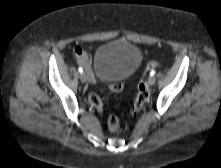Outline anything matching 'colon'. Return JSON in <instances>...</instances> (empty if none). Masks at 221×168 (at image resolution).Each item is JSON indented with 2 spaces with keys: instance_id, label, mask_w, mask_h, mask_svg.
<instances>
[{
  "instance_id": "5ec220e1",
  "label": "colon",
  "mask_w": 221,
  "mask_h": 168,
  "mask_svg": "<svg viewBox=\"0 0 221 168\" xmlns=\"http://www.w3.org/2000/svg\"><path fill=\"white\" fill-rule=\"evenodd\" d=\"M159 62L157 61H151L147 64L146 69L152 70L159 66ZM110 90L113 93H120L123 90V85L121 83H114L110 86ZM149 99V91L148 86L145 81V79H141V81L138 84V92L136 99L133 103L131 113L132 115L136 116L140 113L143 106ZM90 102L94 108H96L98 111H103V102L101 98L97 94H92L90 96ZM108 128L110 131L115 132L119 130L120 128V122L118 118L115 115H110L107 120Z\"/></svg>"
}]
</instances>
